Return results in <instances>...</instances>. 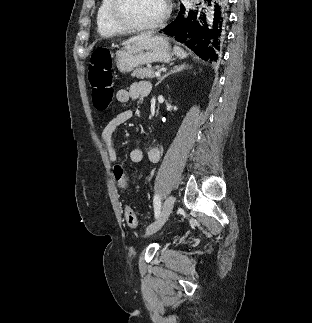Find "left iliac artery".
<instances>
[{
	"label": "left iliac artery",
	"mask_w": 312,
	"mask_h": 323,
	"mask_svg": "<svg viewBox=\"0 0 312 323\" xmlns=\"http://www.w3.org/2000/svg\"><path fill=\"white\" fill-rule=\"evenodd\" d=\"M155 217H158L161 211V201L159 195L154 196L153 200Z\"/></svg>",
	"instance_id": "obj_1"
}]
</instances>
